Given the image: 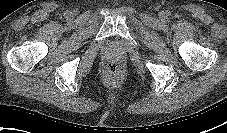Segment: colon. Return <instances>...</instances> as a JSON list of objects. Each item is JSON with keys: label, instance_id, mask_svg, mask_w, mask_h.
Here are the masks:
<instances>
[{"label": "colon", "instance_id": "1", "mask_svg": "<svg viewBox=\"0 0 227 133\" xmlns=\"http://www.w3.org/2000/svg\"><path fill=\"white\" fill-rule=\"evenodd\" d=\"M105 70L112 76H118L122 73V66L118 62H108L105 65Z\"/></svg>", "mask_w": 227, "mask_h": 133}]
</instances>
